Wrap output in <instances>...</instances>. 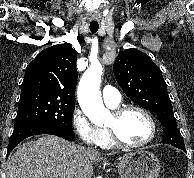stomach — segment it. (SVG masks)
<instances>
[{
	"instance_id": "0dacf381",
	"label": "stomach",
	"mask_w": 194,
	"mask_h": 178,
	"mask_svg": "<svg viewBox=\"0 0 194 178\" xmlns=\"http://www.w3.org/2000/svg\"><path fill=\"white\" fill-rule=\"evenodd\" d=\"M161 166L157 157L149 151H136L118 164L121 178H157Z\"/></svg>"
}]
</instances>
